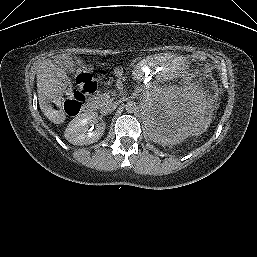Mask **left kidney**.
Returning a JSON list of instances; mask_svg holds the SVG:
<instances>
[{
  "instance_id": "left-kidney-1",
  "label": "left kidney",
  "mask_w": 257,
  "mask_h": 257,
  "mask_svg": "<svg viewBox=\"0 0 257 257\" xmlns=\"http://www.w3.org/2000/svg\"><path fill=\"white\" fill-rule=\"evenodd\" d=\"M205 99L196 91L163 89L146 103L144 119L150 138L162 145L176 144L207 128Z\"/></svg>"
}]
</instances>
